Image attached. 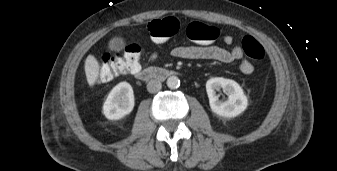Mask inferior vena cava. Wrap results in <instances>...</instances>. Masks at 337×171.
I'll list each match as a JSON object with an SVG mask.
<instances>
[{"mask_svg":"<svg viewBox=\"0 0 337 171\" xmlns=\"http://www.w3.org/2000/svg\"><path fill=\"white\" fill-rule=\"evenodd\" d=\"M162 88V84L159 80H150L147 84V90L150 93H157Z\"/></svg>","mask_w":337,"mask_h":171,"instance_id":"inferior-vena-cava-1","label":"inferior vena cava"}]
</instances>
